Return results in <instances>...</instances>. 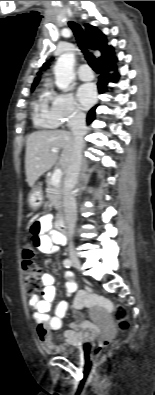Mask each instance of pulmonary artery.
<instances>
[{"label":"pulmonary artery","mask_w":155,"mask_h":395,"mask_svg":"<svg viewBox=\"0 0 155 395\" xmlns=\"http://www.w3.org/2000/svg\"><path fill=\"white\" fill-rule=\"evenodd\" d=\"M78 76L83 81H90L94 78V74L90 67L86 64L82 65L78 69Z\"/></svg>","instance_id":"e3ab8cb5"}]
</instances>
